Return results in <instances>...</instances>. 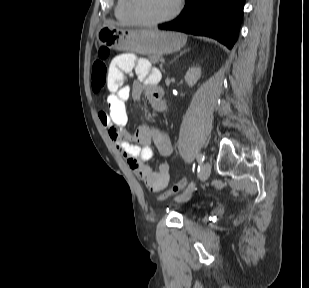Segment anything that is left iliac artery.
<instances>
[{
  "mask_svg": "<svg viewBox=\"0 0 309 288\" xmlns=\"http://www.w3.org/2000/svg\"><path fill=\"white\" fill-rule=\"evenodd\" d=\"M204 159H205V157H204V155H202V154H199L198 156H197V161H198V163H202L203 161H204ZM188 190H190V191H192L193 192V190H194V184H193V182L188 186V188L186 189V191H188ZM184 194V193H183ZM183 194H181V195H183ZM180 195V196H181ZM180 196H178V197H176V200H178L179 198H180Z\"/></svg>",
  "mask_w": 309,
  "mask_h": 288,
  "instance_id": "44dca946",
  "label": "left iliac artery"
}]
</instances>
